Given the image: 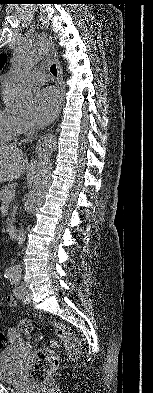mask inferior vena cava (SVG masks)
<instances>
[{
  "instance_id": "obj_1",
  "label": "inferior vena cava",
  "mask_w": 153,
  "mask_h": 393,
  "mask_svg": "<svg viewBox=\"0 0 153 393\" xmlns=\"http://www.w3.org/2000/svg\"><path fill=\"white\" fill-rule=\"evenodd\" d=\"M17 241H18V246L21 247L24 242V230H23L22 226H21V229L18 231Z\"/></svg>"
}]
</instances>
